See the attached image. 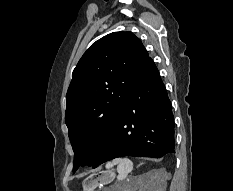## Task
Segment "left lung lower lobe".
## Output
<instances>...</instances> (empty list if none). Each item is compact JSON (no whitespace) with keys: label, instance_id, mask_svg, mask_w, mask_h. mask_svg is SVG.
<instances>
[{"label":"left lung lower lobe","instance_id":"0a47b994","mask_svg":"<svg viewBox=\"0 0 233 191\" xmlns=\"http://www.w3.org/2000/svg\"><path fill=\"white\" fill-rule=\"evenodd\" d=\"M175 153L174 117L159 71L149 57L120 108L93 168L122 156L162 157Z\"/></svg>","mask_w":233,"mask_h":191}]
</instances>
